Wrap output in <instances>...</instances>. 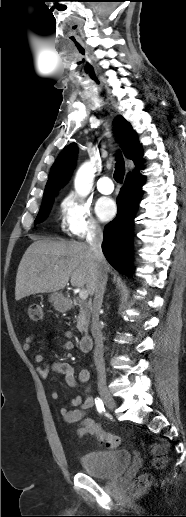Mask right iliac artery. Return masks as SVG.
<instances>
[{"label": "right iliac artery", "mask_w": 186, "mask_h": 517, "mask_svg": "<svg viewBox=\"0 0 186 517\" xmlns=\"http://www.w3.org/2000/svg\"><path fill=\"white\" fill-rule=\"evenodd\" d=\"M95 404H96V408H97V411L99 413H104L105 412V408H104V404L102 402V400L100 398H96L95 399Z\"/></svg>", "instance_id": "obj_1"}]
</instances>
